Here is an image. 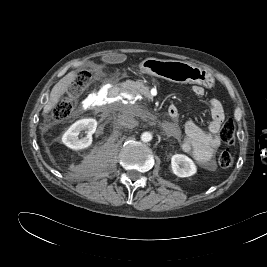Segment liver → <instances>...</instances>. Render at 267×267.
Wrapping results in <instances>:
<instances>
[{
  "label": "liver",
  "instance_id": "liver-1",
  "mask_svg": "<svg viewBox=\"0 0 267 267\" xmlns=\"http://www.w3.org/2000/svg\"><path fill=\"white\" fill-rule=\"evenodd\" d=\"M76 78L77 72L71 71L54 85L50 93V98L43 108V115H46L51 111L52 108L55 107V105L59 102L60 98L71 87L72 83L76 80Z\"/></svg>",
  "mask_w": 267,
  "mask_h": 267
}]
</instances>
